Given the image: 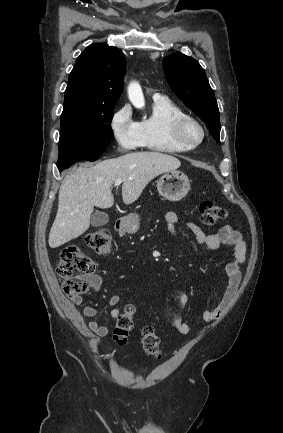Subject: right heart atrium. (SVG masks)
I'll return each mask as SVG.
<instances>
[{"mask_svg":"<svg viewBox=\"0 0 283 433\" xmlns=\"http://www.w3.org/2000/svg\"><path fill=\"white\" fill-rule=\"evenodd\" d=\"M109 130L118 154L137 150L145 144L140 122L134 119L132 108L127 103L112 112Z\"/></svg>","mask_w":283,"mask_h":433,"instance_id":"1","label":"right heart atrium"}]
</instances>
